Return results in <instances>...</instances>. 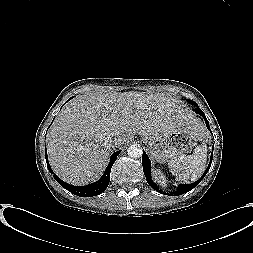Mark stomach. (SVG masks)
I'll list each match as a JSON object with an SVG mask.
<instances>
[{
    "label": "stomach",
    "mask_w": 253,
    "mask_h": 253,
    "mask_svg": "<svg viewBox=\"0 0 253 253\" xmlns=\"http://www.w3.org/2000/svg\"><path fill=\"white\" fill-rule=\"evenodd\" d=\"M142 138L152 156L161 163L184 155L202 139L198 133H188L183 128L169 133L144 135Z\"/></svg>",
    "instance_id": "stomach-1"
}]
</instances>
